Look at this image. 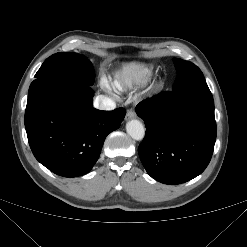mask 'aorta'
Returning a JSON list of instances; mask_svg holds the SVG:
<instances>
[{
    "mask_svg": "<svg viewBox=\"0 0 247 247\" xmlns=\"http://www.w3.org/2000/svg\"><path fill=\"white\" fill-rule=\"evenodd\" d=\"M126 131L131 138L137 141L142 140L145 136V128L143 124L136 119L127 122Z\"/></svg>",
    "mask_w": 247,
    "mask_h": 247,
    "instance_id": "aorta-1",
    "label": "aorta"
}]
</instances>
